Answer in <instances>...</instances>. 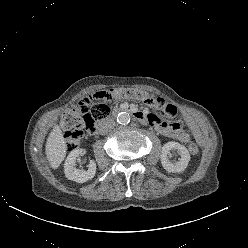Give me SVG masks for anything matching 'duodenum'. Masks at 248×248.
Masks as SVG:
<instances>
[{"label": "duodenum", "mask_w": 248, "mask_h": 248, "mask_svg": "<svg viewBox=\"0 0 248 248\" xmlns=\"http://www.w3.org/2000/svg\"><path fill=\"white\" fill-rule=\"evenodd\" d=\"M121 112H126V113H129L131 114L134 118H136L137 120L143 122V123H149L150 122V119L147 115H145L144 113L138 111V110H135V109H131V108H128V107H118V108H115L112 112V115H117ZM104 122H100L99 124H97L96 126V131L100 130L103 126Z\"/></svg>", "instance_id": "1"}]
</instances>
